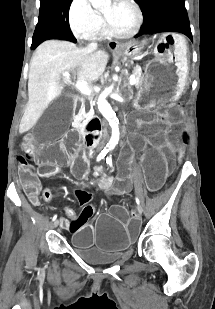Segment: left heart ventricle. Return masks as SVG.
Returning <instances> with one entry per match:
<instances>
[{
  "label": "left heart ventricle",
  "instance_id": "left-heart-ventricle-1",
  "mask_svg": "<svg viewBox=\"0 0 215 309\" xmlns=\"http://www.w3.org/2000/svg\"><path fill=\"white\" fill-rule=\"evenodd\" d=\"M111 17V25H116V29H128L131 25L132 15L123 8L111 10Z\"/></svg>",
  "mask_w": 215,
  "mask_h": 309
}]
</instances>
